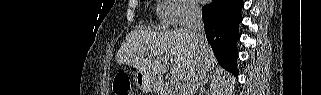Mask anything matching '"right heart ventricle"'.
<instances>
[{
    "label": "right heart ventricle",
    "instance_id": "right-heart-ventricle-1",
    "mask_svg": "<svg viewBox=\"0 0 321 95\" xmlns=\"http://www.w3.org/2000/svg\"><path fill=\"white\" fill-rule=\"evenodd\" d=\"M158 14H159V13H158ZM159 17H160V19H161V25H162L163 27H166V26L169 25L167 22H165V21L161 18L160 15H159Z\"/></svg>",
    "mask_w": 321,
    "mask_h": 95
}]
</instances>
